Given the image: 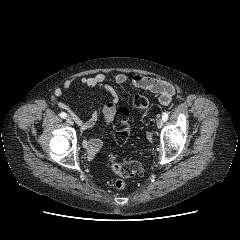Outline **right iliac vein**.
Listing matches in <instances>:
<instances>
[{"label": "right iliac vein", "mask_w": 240, "mask_h": 240, "mask_svg": "<svg viewBox=\"0 0 240 240\" xmlns=\"http://www.w3.org/2000/svg\"><path fill=\"white\" fill-rule=\"evenodd\" d=\"M66 121L70 124V125H73L74 124V121L71 117H67L66 118Z\"/></svg>", "instance_id": "63e3f726"}]
</instances>
